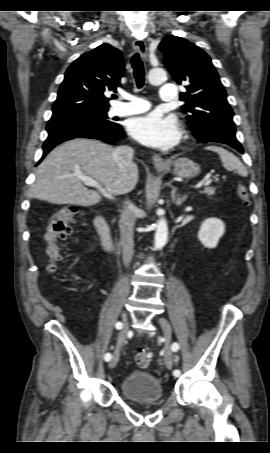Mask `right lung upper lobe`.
Returning <instances> with one entry per match:
<instances>
[{
    "instance_id": "1",
    "label": "right lung upper lobe",
    "mask_w": 270,
    "mask_h": 453,
    "mask_svg": "<svg viewBox=\"0 0 270 453\" xmlns=\"http://www.w3.org/2000/svg\"><path fill=\"white\" fill-rule=\"evenodd\" d=\"M123 73L121 52L110 44H102L81 55L66 71L51 119L108 110L110 105L104 92L116 90Z\"/></svg>"
}]
</instances>
